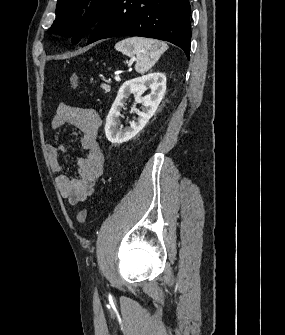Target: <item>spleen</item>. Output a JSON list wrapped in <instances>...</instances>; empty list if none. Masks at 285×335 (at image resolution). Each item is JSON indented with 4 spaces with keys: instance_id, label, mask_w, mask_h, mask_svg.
<instances>
[{
    "instance_id": "3e777b00",
    "label": "spleen",
    "mask_w": 285,
    "mask_h": 335,
    "mask_svg": "<svg viewBox=\"0 0 285 335\" xmlns=\"http://www.w3.org/2000/svg\"><path fill=\"white\" fill-rule=\"evenodd\" d=\"M115 50L129 58L136 56L135 70L138 74H144L156 64L161 54L168 50V46L165 42L150 40V38H126L115 44Z\"/></svg>"
}]
</instances>
